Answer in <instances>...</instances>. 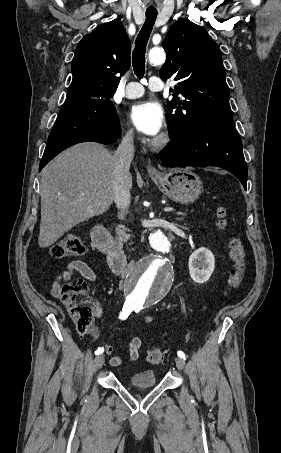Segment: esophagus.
I'll return each mask as SVG.
<instances>
[{
    "instance_id": "esophagus-1",
    "label": "esophagus",
    "mask_w": 281,
    "mask_h": 453,
    "mask_svg": "<svg viewBox=\"0 0 281 453\" xmlns=\"http://www.w3.org/2000/svg\"><path fill=\"white\" fill-rule=\"evenodd\" d=\"M147 170H148L149 174H156L157 173L156 168H154L153 166H147Z\"/></svg>"
}]
</instances>
